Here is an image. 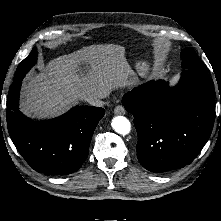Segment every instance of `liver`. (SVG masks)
<instances>
[{"mask_svg":"<svg viewBox=\"0 0 221 221\" xmlns=\"http://www.w3.org/2000/svg\"><path fill=\"white\" fill-rule=\"evenodd\" d=\"M136 81L124 47L86 46L52 59L39 74L29 75L23 84L21 111L37 119L58 116L89 95L102 99Z\"/></svg>","mask_w":221,"mask_h":221,"instance_id":"obj_1","label":"liver"}]
</instances>
